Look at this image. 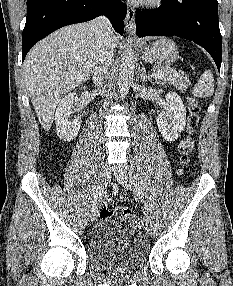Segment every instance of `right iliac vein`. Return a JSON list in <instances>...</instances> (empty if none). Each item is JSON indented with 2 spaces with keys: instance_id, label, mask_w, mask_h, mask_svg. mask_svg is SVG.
Returning a JSON list of instances; mask_svg holds the SVG:
<instances>
[{
  "instance_id": "1",
  "label": "right iliac vein",
  "mask_w": 233,
  "mask_h": 286,
  "mask_svg": "<svg viewBox=\"0 0 233 286\" xmlns=\"http://www.w3.org/2000/svg\"><path fill=\"white\" fill-rule=\"evenodd\" d=\"M110 175L107 168H103L99 174V181H98V189L97 194L95 196V200L93 203V207L91 210L90 218L92 221H94L98 215L100 202L102 200L105 188L107 187V184L109 182Z\"/></svg>"
}]
</instances>
